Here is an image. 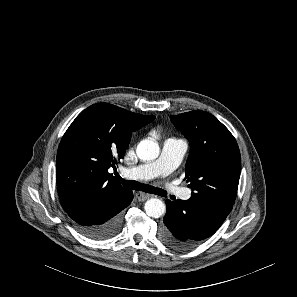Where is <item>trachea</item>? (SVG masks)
I'll return each instance as SVG.
<instances>
[{
	"mask_svg": "<svg viewBox=\"0 0 297 297\" xmlns=\"http://www.w3.org/2000/svg\"><path fill=\"white\" fill-rule=\"evenodd\" d=\"M116 178L126 187H129L134 190H143L148 193L156 194L159 196L167 197V193L160 189V188H155L150 185L146 184H141L137 181H127L123 179L118 173L115 174Z\"/></svg>",
	"mask_w": 297,
	"mask_h": 297,
	"instance_id": "3493384b",
	"label": "trachea"
}]
</instances>
